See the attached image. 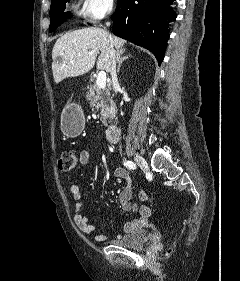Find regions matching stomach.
<instances>
[{
  "mask_svg": "<svg viewBox=\"0 0 240 281\" xmlns=\"http://www.w3.org/2000/svg\"><path fill=\"white\" fill-rule=\"evenodd\" d=\"M85 118L82 108L75 103H67L61 113V130L67 137H76L84 129Z\"/></svg>",
  "mask_w": 240,
  "mask_h": 281,
  "instance_id": "obj_1",
  "label": "stomach"
}]
</instances>
